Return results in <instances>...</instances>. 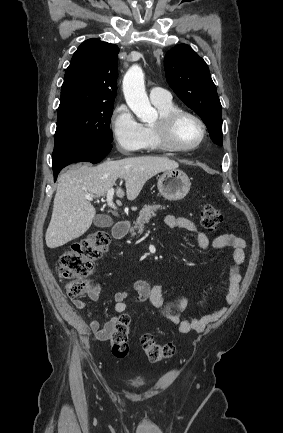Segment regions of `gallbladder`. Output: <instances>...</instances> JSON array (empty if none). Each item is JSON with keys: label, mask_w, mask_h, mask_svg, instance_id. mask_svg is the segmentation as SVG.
Segmentation results:
<instances>
[{"label": "gallbladder", "mask_w": 283, "mask_h": 433, "mask_svg": "<svg viewBox=\"0 0 283 433\" xmlns=\"http://www.w3.org/2000/svg\"><path fill=\"white\" fill-rule=\"evenodd\" d=\"M93 221L96 227H112L113 225L111 217H107V214H96V217L93 219Z\"/></svg>", "instance_id": "bac80fb5"}]
</instances>
